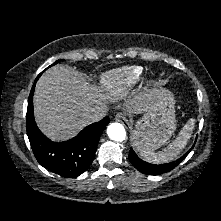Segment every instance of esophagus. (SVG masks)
<instances>
[{"label":"esophagus","mask_w":221,"mask_h":221,"mask_svg":"<svg viewBox=\"0 0 221 221\" xmlns=\"http://www.w3.org/2000/svg\"><path fill=\"white\" fill-rule=\"evenodd\" d=\"M115 120L121 122L124 125H129L127 118L122 113H117L115 116Z\"/></svg>","instance_id":"34e87169"}]
</instances>
